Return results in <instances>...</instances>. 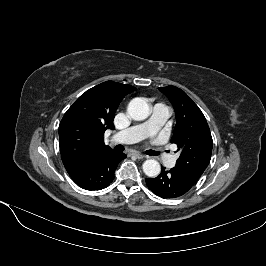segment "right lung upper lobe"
Listing matches in <instances>:
<instances>
[{
    "mask_svg": "<svg viewBox=\"0 0 266 266\" xmlns=\"http://www.w3.org/2000/svg\"><path fill=\"white\" fill-rule=\"evenodd\" d=\"M135 90L106 81L83 93L68 109L59 125L61 157L67 172L112 151L104 144V132L113 129L116 109L124 96Z\"/></svg>",
    "mask_w": 266,
    "mask_h": 266,
    "instance_id": "cb5924a9",
    "label": "right lung upper lobe"
}]
</instances>
